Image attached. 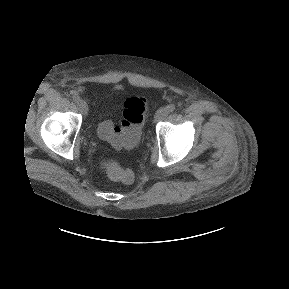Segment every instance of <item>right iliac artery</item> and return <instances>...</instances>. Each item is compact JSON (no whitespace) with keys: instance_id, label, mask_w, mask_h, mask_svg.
Here are the masks:
<instances>
[{"instance_id":"obj_1","label":"right iliac artery","mask_w":289,"mask_h":289,"mask_svg":"<svg viewBox=\"0 0 289 289\" xmlns=\"http://www.w3.org/2000/svg\"><path fill=\"white\" fill-rule=\"evenodd\" d=\"M72 94H73L72 95L73 100L78 103L80 101V97L75 93H72Z\"/></svg>"}]
</instances>
